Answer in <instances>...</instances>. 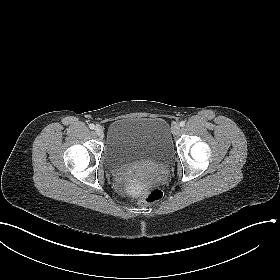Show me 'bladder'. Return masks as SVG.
Masks as SVG:
<instances>
[{
  "label": "bladder",
  "mask_w": 280,
  "mask_h": 280,
  "mask_svg": "<svg viewBox=\"0 0 280 280\" xmlns=\"http://www.w3.org/2000/svg\"><path fill=\"white\" fill-rule=\"evenodd\" d=\"M172 155L170 129L163 118H119L108 127L103 160L111 172L140 162L166 163Z\"/></svg>",
  "instance_id": "obj_1"
}]
</instances>
